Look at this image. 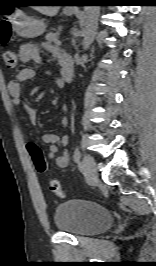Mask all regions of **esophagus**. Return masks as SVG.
Listing matches in <instances>:
<instances>
[{
    "mask_svg": "<svg viewBox=\"0 0 156 266\" xmlns=\"http://www.w3.org/2000/svg\"><path fill=\"white\" fill-rule=\"evenodd\" d=\"M72 9H74V10H78V7H73Z\"/></svg>",
    "mask_w": 156,
    "mask_h": 266,
    "instance_id": "34e87169",
    "label": "esophagus"
}]
</instances>
